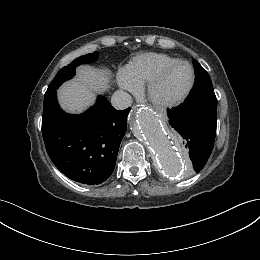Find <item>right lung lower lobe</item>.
I'll use <instances>...</instances> for the list:
<instances>
[{
  "label": "right lung lower lobe",
  "mask_w": 260,
  "mask_h": 260,
  "mask_svg": "<svg viewBox=\"0 0 260 260\" xmlns=\"http://www.w3.org/2000/svg\"><path fill=\"white\" fill-rule=\"evenodd\" d=\"M130 108L116 110L102 96L80 115L59 107L56 91L44 96L42 134L54 165L68 178L87 185L103 183L116 164Z\"/></svg>",
  "instance_id": "obj_1"
}]
</instances>
